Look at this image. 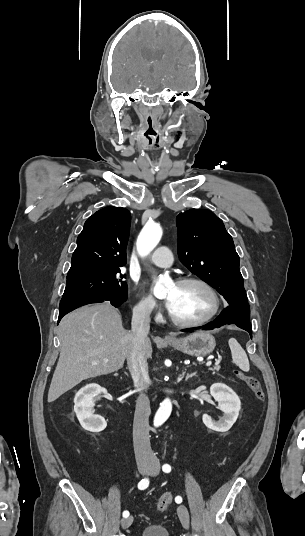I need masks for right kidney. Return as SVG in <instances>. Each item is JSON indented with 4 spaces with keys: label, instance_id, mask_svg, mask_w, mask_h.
Returning a JSON list of instances; mask_svg holds the SVG:
<instances>
[{
    "label": "right kidney",
    "instance_id": "right-kidney-1",
    "mask_svg": "<svg viewBox=\"0 0 305 536\" xmlns=\"http://www.w3.org/2000/svg\"><path fill=\"white\" fill-rule=\"evenodd\" d=\"M100 392H105L104 388H100L98 384H87L77 392L74 398V412L84 430L88 432H101L106 428V422L100 416H94L91 412L94 406V398Z\"/></svg>",
    "mask_w": 305,
    "mask_h": 536
}]
</instances>
